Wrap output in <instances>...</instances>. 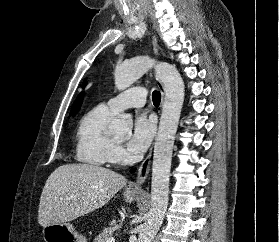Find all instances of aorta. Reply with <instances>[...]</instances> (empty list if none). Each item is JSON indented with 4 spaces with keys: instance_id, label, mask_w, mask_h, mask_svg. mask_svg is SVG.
I'll list each match as a JSON object with an SVG mask.
<instances>
[{
    "instance_id": "762f6f07",
    "label": "aorta",
    "mask_w": 279,
    "mask_h": 242,
    "mask_svg": "<svg viewBox=\"0 0 279 242\" xmlns=\"http://www.w3.org/2000/svg\"><path fill=\"white\" fill-rule=\"evenodd\" d=\"M153 66L156 67L157 76L164 86L165 100L154 146L151 207L147 221L141 228L138 242H152L165 216L172 151L184 102V82L175 66L165 62L156 65L155 60L148 56L135 57L117 65L114 73L116 87L124 90ZM132 125L131 116L120 114L110 123L109 131L115 136L128 137L132 132Z\"/></svg>"
}]
</instances>
